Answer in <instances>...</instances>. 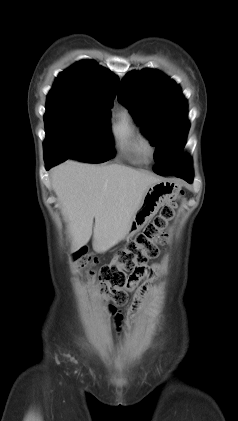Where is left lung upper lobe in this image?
<instances>
[{
  "mask_svg": "<svg viewBox=\"0 0 238 421\" xmlns=\"http://www.w3.org/2000/svg\"><path fill=\"white\" fill-rule=\"evenodd\" d=\"M118 100L156 146L157 174L192 166L182 154L189 130L187 101L173 80L157 70L132 71L121 82Z\"/></svg>",
  "mask_w": 238,
  "mask_h": 421,
  "instance_id": "obj_1",
  "label": "left lung upper lobe"
}]
</instances>
